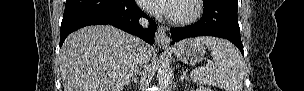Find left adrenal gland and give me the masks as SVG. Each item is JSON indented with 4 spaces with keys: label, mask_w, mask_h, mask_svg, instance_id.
Wrapping results in <instances>:
<instances>
[{
    "label": "left adrenal gland",
    "mask_w": 304,
    "mask_h": 91,
    "mask_svg": "<svg viewBox=\"0 0 304 91\" xmlns=\"http://www.w3.org/2000/svg\"><path fill=\"white\" fill-rule=\"evenodd\" d=\"M183 80L189 81V78L186 76V72L184 70H182V75L180 78V81H183Z\"/></svg>",
    "instance_id": "left-adrenal-gland-1"
}]
</instances>
